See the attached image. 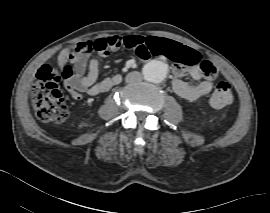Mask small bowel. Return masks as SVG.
Listing matches in <instances>:
<instances>
[{"label": "small bowel", "mask_w": 270, "mask_h": 213, "mask_svg": "<svg viewBox=\"0 0 270 213\" xmlns=\"http://www.w3.org/2000/svg\"><path fill=\"white\" fill-rule=\"evenodd\" d=\"M125 39V36L115 35L95 41L86 40L61 52V67L67 61L73 64L72 77L64 80L65 87L73 98L79 99L83 93L95 96L121 82L119 74L103 77L100 81L98 78L101 59L106 58L111 51L124 48ZM155 54L174 61L173 89L181 98L195 101L212 91L217 77L216 69L213 78L204 76L202 66L198 64L200 58L196 50L172 40L158 38L153 45L145 47L138 59H148ZM185 75L200 82L191 84L183 81L182 77Z\"/></svg>", "instance_id": "c3829d8e"}]
</instances>
